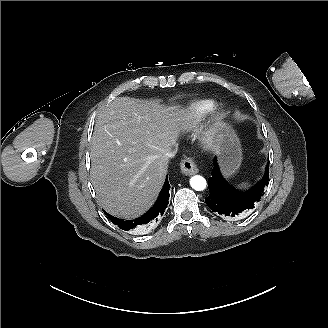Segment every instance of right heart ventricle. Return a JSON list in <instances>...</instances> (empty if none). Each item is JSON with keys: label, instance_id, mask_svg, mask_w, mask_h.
Wrapping results in <instances>:
<instances>
[{"label": "right heart ventricle", "instance_id": "obj_1", "mask_svg": "<svg viewBox=\"0 0 328 328\" xmlns=\"http://www.w3.org/2000/svg\"><path fill=\"white\" fill-rule=\"evenodd\" d=\"M216 103L217 101L211 98L186 101L178 111L181 124L179 138L193 135L202 126L206 114Z\"/></svg>", "mask_w": 328, "mask_h": 328}]
</instances>
